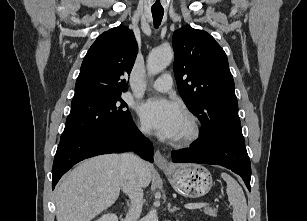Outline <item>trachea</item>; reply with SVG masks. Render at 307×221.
I'll return each mask as SVG.
<instances>
[{
    "instance_id": "3493384b",
    "label": "trachea",
    "mask_w": 307,
    "mask_h": 221,
    "mask_svg": "<svg viewBox=\"0 0 307 221\" xmlns=\"http://www.w3.org/2000/svg\"><path fill=\"white\" fill-rule=\"evenodd\" d=\"M151 11L153 15L154 26L157 28L162 21L164 10L163 9H152Z\"/></svg>"
}]
</instances>
